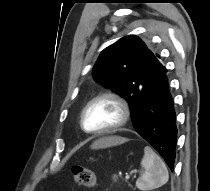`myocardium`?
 Listing matches in <instances>:
<instances>
[{
  "label": "myocardium",
  "mask_w": 210,
  "mask_h": 191,
  "mask_svg": "<svg viewBox=\"0 0 210 191\" xmlns=\"http://www.w3.org/2000/svg\"><path fill=\"white\" fill-rule=\"evenodd\" d=\"M100 100H110V101H113L115 104H117L120 109V112H121V117H120L119 121L112 126L98 129V130H88L85 127V123H84L85 113H86L87 109L93 103L100 101ZM130 116H131L130 106H129L128 102L122 96H120L119 94L114 93V92H105V93L95 96L90 101H88L87 104L84 106V108L82 109L81 114H80V126H81L82 130L88 134H93V135L107 134V133L115 132V131L121 129L122 127H124L130 120Z\"/></svg>",
  "instance_id": "1"
}]
</instances>
